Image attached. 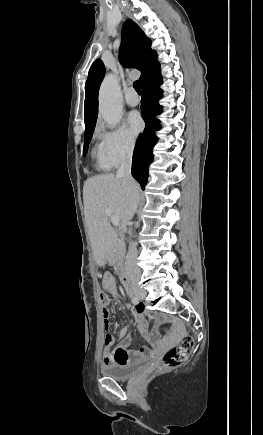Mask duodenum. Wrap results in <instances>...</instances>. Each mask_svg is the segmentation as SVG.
I'll use <instances>...</instances> for the list:
<instances>
[{
  "label": "duodenum",
  "mask_w": 263,
  "mask_h": 435,
  "mask_svg": "<svg viewBox=\"0 0 263 435\" xmlns=\"http://www.w3.org/2000/svg\"><path fill=\"white\" fill-rule=\"evenodd\" d=\"M120 280H121V283H122V285L124 286V288H125L127 294H128L129 296H131V295H132V287H131V285H130V282H129L128 276H127V274H126L125 272H122V273H121V275H120Z\"/></svg>",
  "instance_id": "1"
}]
</instances>
